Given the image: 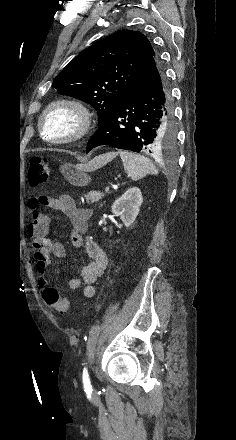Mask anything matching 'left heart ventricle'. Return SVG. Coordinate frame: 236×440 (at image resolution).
I'll return each mask as SVG.
<instances>
[{
  "label": "left heart ventricle",
  "mask_w": 236,
  "mask_h": 440,
  "mask_svg": "<svg viewBox=\"0 0 236 440\" xmlns=\"http://www.w3.org/2000/svg\"><path fill=\"white\" fill-rule=\"evenodd\" d=\"M77 120L68 110H54L46 120V134L53 137L70 135L76 130Z\"/></svg>",
  "instance_id": "left-heart-ventricle-1"
}]
</instances>
